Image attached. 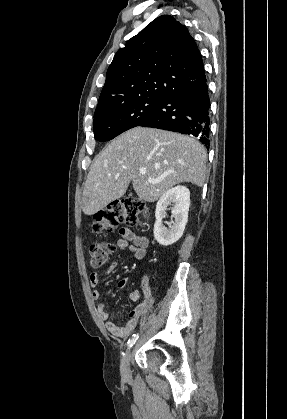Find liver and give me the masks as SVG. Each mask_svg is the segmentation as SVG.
<instances>
[{
  "instance_id": "obj_1",
  "label": "liver",
  "mask_w": 287,
  "mask_h": 419,
  "mask_svg": "<svg viewBox=\"0 0 287 419\" xmlns=\"http://www.w3.org/2000/svg\"><path fill=\"white\" fill-rule=\"evenodd\" d=\"M207 153L195 138L155 128L135 127L112 140L94 159L82 199L93 215L121 198L130 182L139 199L158 200L176 184L203 186ZM140 169L146 173L141 175ZM152 178L156 182H149Z\"/></svg>"
}]
</instances>
